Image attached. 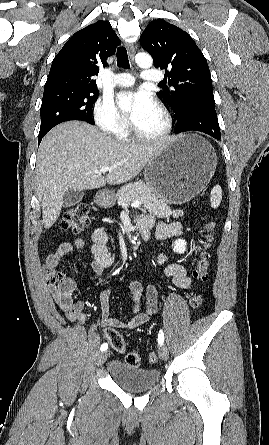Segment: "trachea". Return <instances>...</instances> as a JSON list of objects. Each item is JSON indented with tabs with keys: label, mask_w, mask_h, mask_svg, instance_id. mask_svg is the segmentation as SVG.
Masks as SVG:
<instances>
[{
	"label": "trachea",
	"mask_w": 269,
	"mask_h": 445,
	"mask_svg": "<svg viewBox=\"0 0 269 445\" xmlns=\"http://www.w3.org/2000/svg\"><path fill=\"white\" fill-rule=\"evenodd\" d=\"M117 65L126 69L130 67L128 54L125 47H119L117 49Z\"/></svg>",
	"instance_id": "3493384b"
}]
</instances>
